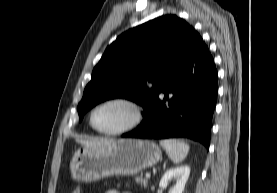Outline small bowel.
Returning a JSON list of instances; mask_svg holds the SVG:
<instances>
[{
  "instance_id": "small-bowel-1",
  "label": "small bowel",
  "mask_w": 277,
  "mask_h": 193,
  "mask_svg": "<svg viewBox=\"0 0 277 193\" xmlns=\"http://www.w3.org/2000/svg\"><path fill=\"white\" fill-rule=\"evenodd\" d=\"M105 193H130V192H127V191H120L118 189H109L107 190Z\"/></svg>"
}]
</instances>
